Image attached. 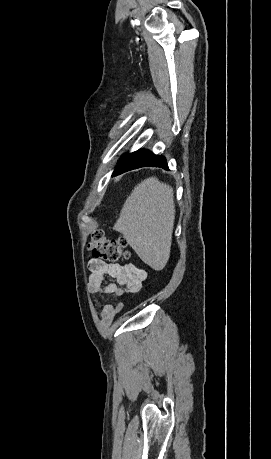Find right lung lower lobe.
Here are the masks:
<instances>
[{"label":"right lung lower lobe","instance_id":"obj_1","mask_svg":"<svg viewBox=\"0 0 271 459\" xmlns=\"http://www.w3.org/2000/svg\"><path fill=\"white\" fill-rule=\"evenodd\" d=\"M146 166L168 169L165 157L141 149L131 154L124 155L119 161L113 176Z\"/></svg>","mask_w":271,"mask_h":459}]
</instances>
